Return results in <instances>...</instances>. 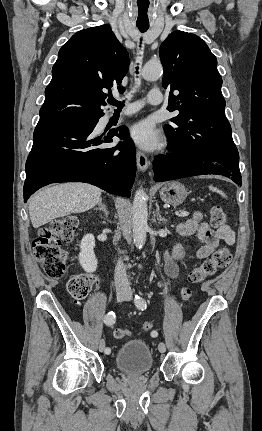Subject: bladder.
<instances>
[{"label": "bladder", "mask_w": 262, "mask_h": 431, "mask_svg": "<svg viewBox=\"0 0 262 431\" xmlns=\"http://www.w3.org/2000/svg\"><path fill=\"white\" fill-rule=\"evenodd\" d=\"M115 364L126 374H145L149 373L153 368V355L144 339H131L118 349Z\"/></svg>", "instance_id": "obj_1"}]
</instances>
